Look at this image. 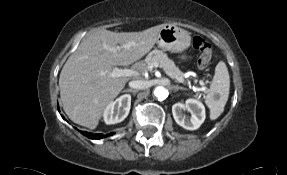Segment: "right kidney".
Masks as SVG:
<instances>
[{
    "mask_svg": "<svg viewBox=\"0 0 287 175\" xmlns=\"http://www.w3.org/2000/svg\"><path fill=\"white\" fill-rule=\"evenodd\" d=\"M131 107V96L125 94L110 102L104 111V121L106 124H116L123 121L129 114Z\"/></svg>",
    "mask_w": 287,
    "mask_h": 175,
    "instance_id": "obj_1",
    "label": "right kidney"
}]
</instances>
